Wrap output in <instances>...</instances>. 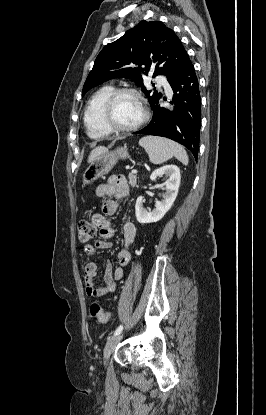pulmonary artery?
I'll use <instances>...</instances> for the list:
<instances>
[{
  "mask_svg": "<svg viewBox=\"0 0 266 415\" xmlns=\"http://www.w3.org/2000/svg\"><path fill=\"white\" fill-rule=\"evenodd\" d=\"M156 80H157L158 84H160L161 86H163L165 88L166 91L170 92V87H169L167 81L164 78L157 77Z\"/></svg>",
  "mask_w": 266,
  "mask_h": 415,
  "instance_id": "pulmonary-artery-1",
  "label": "pulmonary artery"
}]
</instances>
